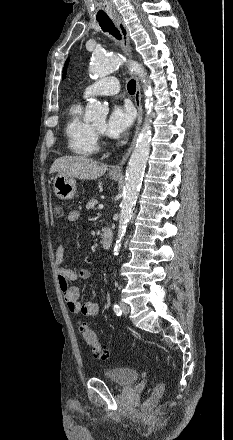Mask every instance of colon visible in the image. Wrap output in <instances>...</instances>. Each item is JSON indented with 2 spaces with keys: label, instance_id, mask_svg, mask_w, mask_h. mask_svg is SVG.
Segmentation results:
<instances>
[{
  "label": "colon",
  "instance_id": "obj_1",
  "mask_svg": "<svg viewBox=\"0 0 233 440\" xmlns=\"http://www.w3.org/2000/svg\"><path fill=\"white\" fill-rule=\"evenodd\" d=\"M63 214V209L61 205H55L54 207V215L56 217H61ZM79 329L82 333L84 341L92 348L93 354L95 357L99 359H107L110 356V351L106 349L101 342L99 341L97 335L92 330V328L86 323L81 322L79 324ZM164 392V384L162 381H159L154 386L151 395L146 402L145 407L147 409L152 408L158 400L161 398Z\"/></svg>",
  "mask_w": 233,
  "mask_h": 440
}]
</instances>
